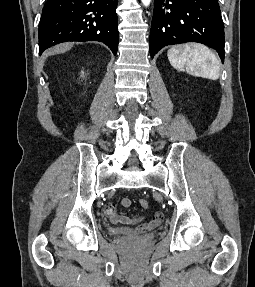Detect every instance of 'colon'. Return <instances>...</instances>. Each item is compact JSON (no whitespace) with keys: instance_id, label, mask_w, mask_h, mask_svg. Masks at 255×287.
I'll return each mask as SVG.
<instances>
[{"instance_id":"colon-1","label":"colon","mask_w":255,"mask_h":287,"mask_svg":"<svg viewBox=\"0 0 255 287\" xmlns=\"http://www.w3.org/2000/svg\"><path fill=\"white\" fill-rule=\"evenodd\" d=\"M139 203H140V206H141L142 208H147V207L149 206L148 201H147V200H144V199H141V200L139 201Z\"/></svg>"}]
</instances>
